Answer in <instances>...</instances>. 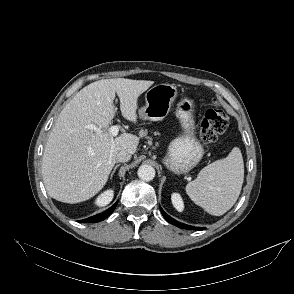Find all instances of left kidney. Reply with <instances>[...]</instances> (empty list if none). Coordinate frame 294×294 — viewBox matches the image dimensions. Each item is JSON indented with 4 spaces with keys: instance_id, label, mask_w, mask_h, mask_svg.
Listing matches in <instances>:
<instances>
[{
    "instance_id": "5707ae66",
    "label": "left kidney",
    "mask_w": 294,
    "mask_h": 294,
    "mask_svg": "<svg viewBox=\"0 0 294 294\" xmlns=\"http://www.w3.org/2000/svg\"><path fill=\"white\" fill-rule=\"evenodd\" d=\"M172 204L173 206L179 211H183L184 209V203L182 200V197L178 193H173L171 196Z\"/></svg>"
}]
</instances>
